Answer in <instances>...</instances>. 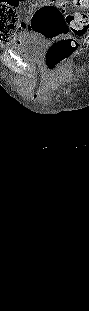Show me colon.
Segmentation results:
<instances>
[{
    "mask_svg": "<svg viewBox=\"0 0 89 311\" xmlns=\"http://www.w3.org/2000/svg\"><path fill=\"white\" fill-rule=\"evenodd\" d=\"M72 3L78 11L66 13L67 0H50L40 6L31 19L32 31L52 41L45 57L46 65L51 71L60 69L78 50V38L88 28V0H72ZM19 25L18 12L14 8H2L0 27L2 31L6 27L10 30L8 34L3 32L6 37L11 39L13 30Z\"/></svg>",
    "mask_w": 89,
    "mask_h": 311,
    "instance_id": "1",
    "label": "colon"
}]
</instances>
